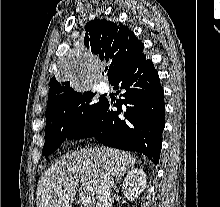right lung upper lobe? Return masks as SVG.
<instances>
[{"label":"right lung upper lobe","instance_id":"1","mask_svg":"<svg viewBox=\"0 0 220 207\" xmlns=\"http://www.w3.org/2000/svg\"><path fill=\"white\" fill-rule=\"evenodd\" d=\"M84 44L90 55L108 63V79L111 81L120 69L143 51L144 45L125 25L106 19H95L85 26ZM46 113L51 112L64 98L74 94L70 81L50 80ZM45 113V114H46Z\"/></svg>","mask_w":220,"mask_h":207}]
</instances>
